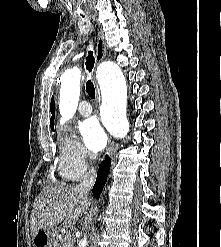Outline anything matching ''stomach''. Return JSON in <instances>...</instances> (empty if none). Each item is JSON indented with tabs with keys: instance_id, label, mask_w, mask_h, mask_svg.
<instances>
[{
	"instance_id": "1",
	"label": "stomach",
	"mask_w": 221,
	"mask_h": 247,
	"mask_svg": "<svg viewBox=\"0 0 221 247\" xmlns=\"http://www.w3.org/2000/svg\"><path fill=\"white\" fill-rule=\"evenodd\" d=\"M54 237L49 230H40L32 238L34 247H51Z\"/></svg>"
}]
</instances>
